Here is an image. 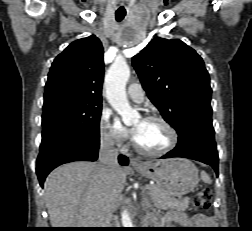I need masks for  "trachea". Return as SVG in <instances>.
Here are the masks:
<instances>
[{
    "instance_id": "obj_1",
    "label": "trachea",
    "mask_w": 252,
    "mask_h": 231,
    "mask_svg": "<svg viewBox=\"0 0 252 231\" xmlns=\"http://www.w3.org/2000/svg\"><path fill=\"white\" fill-rule=\"evenodd\" d=\"M125 15H126L125 12H116L115 13L116 21L121 22L124 19Z\"/></svg>"
}]
</instances>
